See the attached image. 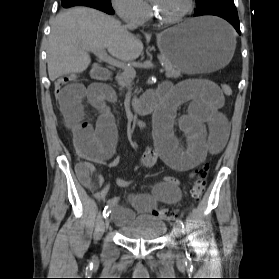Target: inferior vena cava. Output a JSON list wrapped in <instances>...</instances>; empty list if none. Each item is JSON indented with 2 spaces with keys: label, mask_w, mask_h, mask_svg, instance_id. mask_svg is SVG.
Masks as SVG:
<instances>
[{
  "label": "inferior vena cava",
  "mask_w": 279,
  "mask_h": 279,
  "mask_svg": "<svg viewBox=\"0 0 279 279\" xmlns=\"http://www.w3.org/2000/svg\"><path fill=\"white\" fill-rule=\"evenodd\" d=\"M125 27L131 29V28H134V25H132V24H127V25H125Z\"/></svg>",
  "instance_id": "1"
}]
</instances>
